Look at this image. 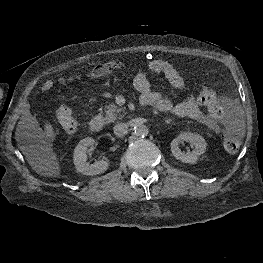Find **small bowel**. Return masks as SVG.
<instances>
[{"label": "small bowel", "mask_w": 263, "mask_h": 263, "mask_svg": "<svg viewBox=\"0 0 263 263\" xmlns=\"http://www.w3.org/2000/svg\"><path fill=\"white\" fill-rule=\"evenodd\" d=\"M115 63L116 62H110L95 67L91 71L89 78L94 80L116 69H120ZM148 73L163 74L174 88L179 90L185 89L184 79L170 63L161 59L150 60L147 65L135 75L132 82L133 87L141 94V104L153 105L162 112H172L180 117H189L213 131H217L219 129L216 117L211 113H204L201 110L202 103L200 101V97L189 96L184 101L174 104L160 93L152 91L150 82L147 78ZM75 79L76 77L71 76L64 80V84L67 85ZM53 86V80H46L42 85V91H49L53 88ZM26 116L30 119V121L33 120V116L30 112H27ZM51 133L52 132L50 130H47V134L49 136Z\"/></svg>", "instance_id": "c3829d8e"}]
</instances>
